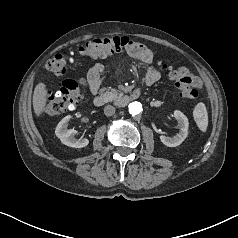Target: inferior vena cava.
<instances>
[{
	"label": "inferior vena cava",
	"instance_id": "inferior-vena-cava-1",
	"mask_svg": "<svg viewBox=\"0 0 238 238\" xmlns=\"http://www.w3.org/2000/svg\"><path fill=\"white\" fill-rule=\"evenodd\" d=\"M115 111H116V109L112 105H106L104 107V113L106 116H112L113 114H115Z\"/></svg>",
	"mask_w": 238,
	"mask_h": 238
}]
</instances>
